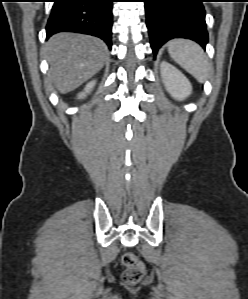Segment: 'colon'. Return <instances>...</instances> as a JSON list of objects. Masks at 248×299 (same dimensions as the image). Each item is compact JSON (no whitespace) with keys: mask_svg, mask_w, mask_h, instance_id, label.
Here are the masks:
<instances>
[{"mask_svg":"<svg viewBox=\"0 0 248 299\" xmlns=\"http://www.w3.org/2000/svg\"><path fill=\"white\" fill-rule=\"evenodd\" d=\"M121 262L126 268L123 274V281L129 285L137 284L144 276L143 264L131 252L124 253Z\"/></svg>","mask_w":248,"mask_h":299,"instance_id":"5ec220e1","label":"colon"}]
</instances>
